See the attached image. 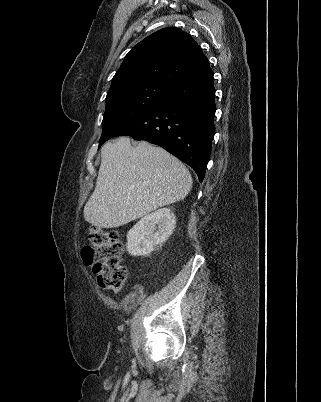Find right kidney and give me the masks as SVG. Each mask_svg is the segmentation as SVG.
I'll list each match as a JSON object with an SVG mask.
<instances>
[{
    "label": "right kidney",
    "mask_w": 321,
    "mask_h": 402,
    "mask_svg": "<svg viewBox=\"0 0 321 402\" xmlns=\"http://www.w3.org/2000/svg\"><path fill=\"white\" fill-rule=\"evenodd\" d=\"M176 217L162 208L141 218L127 234V251L132 256H147L172 234Z\"/></svg>",
    "instance_id": "right-kidney-1"
}]
</instances>
